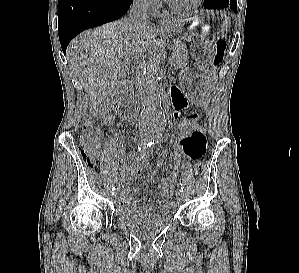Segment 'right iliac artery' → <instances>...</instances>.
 Wrapping results in <instances>:
<instances>
[{"label":"right iliac artery","mask_w":299,"mask_h":273,"mask_svg":"<svg viewBox=\"0 0 299 273\" xmlns=\"http://www.w3.org/2000/svg\"><path fill=\"white\" fill-rule=\"evenodd\" d=\"M147 145L148 144H146V142H141L138 145V151H140V152L143 151L146 148ZM114 193H115V187L112 188V194L114 195Z\"/></svg>","instance_id":"obj_1"}]
</instances>
